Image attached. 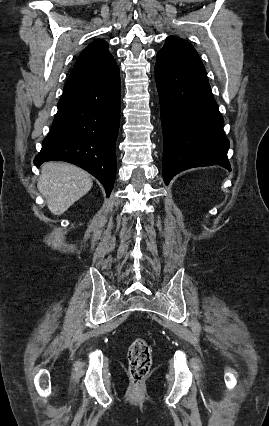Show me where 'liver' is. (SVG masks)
<instances>
[{"label": "liver", "instance_id": "liver-1", "mask_svg": "<svg viewBox=\"0 0 269 426\" xmlns=\"http://www.w3.org/2000/svg\"><path fill=\"white\" fill-rule=\"evenodd\" d=\"M92 185L90 175L83 169L69 163L48 162L41 167L37 187L49 210L61 215L88 193Z\"/></svg>", "mask_w": 269, "mask_h": 426}]
</instances>
